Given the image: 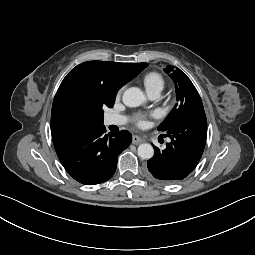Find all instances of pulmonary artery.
I'll list each match as a JSON object with an SVG mask.
<instances>
[{
    "instance_id": "e3ab8cb5",
    "label": "pulmonary artery",
    "mask_w": 255,
    "mask_h": 255,
    "mask_svg": "<svg viewBox=\"0 0 255 255\" xmlns=\"http://www.w3.org/2000/svg\"><path fill=\"white\" fill-rule=\"evenodd\" d=\"M151 99H156L159 96L158 92L149 93ZM127 121L126 117L118 115H110L105 118V124L109 125H123Z\"/></svg>"
}]
</instances>
